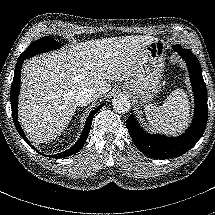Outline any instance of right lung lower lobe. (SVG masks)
<instances>
[{"label":"right lung lower lobe","mask_w":215,"mask_h":215,"mask_svg":"<svg viewBox=\"0 0 215 215\" xmlns=\"http://www.w3.org/2000/svg\"><path fill=\"white\" fill-rule=\"evenodd\" d=\"M27 58L25 57H19L18 62L16 64L15 67V71H14V78H13V82L11 85V94H10V101H11V109H12V118L15 124V127L17 129V131L19 132L20 136L26 141V143L32 147L33 149H35V147H33L29 140L26 138V136L24 135L23 129L21 128L19 122H18V113H17V107H18V95L20 92V76H21V68H22V64L24 62V60H26ZM102 105H99L97 108H95L88 116V119L85 123L83 132L80 136V139L76 142V144L71 147L69 150H66L62 153L59 154H55V155H45L42 154L43 156L46 157H50V158H65L68 156H71L75 153H77L85 144L88 134H89V130H90V126L92 123V119L94 117V115L102 108ZM38 152V150H36Z\"/></svg>","instance_id":"right-lung-lower-lobe-1"}]
</instances>
